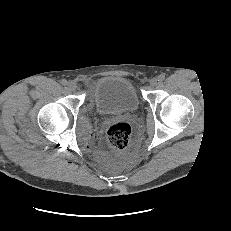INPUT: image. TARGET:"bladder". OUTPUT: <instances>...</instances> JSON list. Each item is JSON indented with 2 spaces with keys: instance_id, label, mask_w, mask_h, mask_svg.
Segmentation results:
<instances>
[{
  "instance_id": "1",
  "label": "bladder",
  "mask_w": 231,
  "mask_h": 231,
  "mask_svg": "<svg viewBox=\"0 0 231 231\" xmlns=\"http://www.w3.org/2000/svg\"><path fill=\"white\" fill-rule=\"evenodd\" d=\"M91 98L101 115L132 112L139 106V97L133 83L120 76L98 79L93 85Z\"/></svg>"
}]
</instances>
